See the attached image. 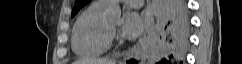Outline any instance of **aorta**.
Masks as SVG:
<instances>
[{
  "label": "aorta",
  "instance_id": "obj_1",
  "mask_svg": "<svg viewBox=\"0 0 242 64\" xmlns=\"http://www.w3.org/2000/svg\"><path fill=\"white\" fill-rule=\"evenodd\" d=\"M107 18L115 23H121V8L119 4L109 6L106 11Z\"/></svg>",
  "mask_w": 242,
  "mask_h": 64
}]
</instances>
